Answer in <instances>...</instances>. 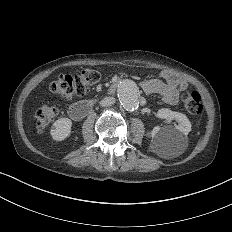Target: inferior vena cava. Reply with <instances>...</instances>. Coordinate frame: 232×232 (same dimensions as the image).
I'll return each instance as SVG.
<instances>
[{"label": "inferior vena cava", "instance_id": "602c4592", "mask_svg": "<svg viewBox=\"0 0 232 232\" xmlns=\"http://www.w3.org/2000/svg\"><path fill=\"white\" fill-rule=\"evenodd\" d=\"M115 103V98L113 97H105L102 101H101V105L102 106H111L112 104Z\"/></svg>", "mask_w": 232, "mask_h": 232}]
</instances>
